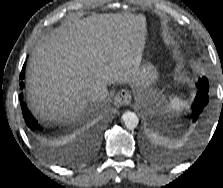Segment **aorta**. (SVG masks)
I'll return each instance as SVG.
<instances>
[{
	"label": "aorta",
	"instance_id": "obj_1",
	"mask_svg": "<svg viewBox=\"0 0 223 188\" xmlns=\"http://www.w3.org/2000/svg\"><path fill=\"white\" fill-rule=\"evenodd\" d=\"M122 120L128 129H134L139 123V119L134 112L128 111L122 115Z\"/></svg>",
	"mask_w": 223,
	"mask_h": 188
}]
</instances>
